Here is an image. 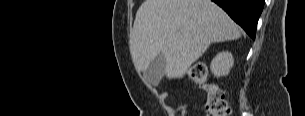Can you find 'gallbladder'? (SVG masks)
I'll use <instances>...</instances> for the list:
<instances>
[{
	"label": "gallbladder",
	"mask_w": 305,
	"mask_h": 116,
	"mask_svg": "<svg viewBox=\"0 0 305 116\" xmlns=\"http://www.w3.org/2000/svg\"><path fill=\"white\" fill-rule=\"evenodd\" d=\"M166 60L162 54L157 55L144 72L145 79L153 86H157L164 76Z\"/></svg>",
	"instance_id": "obj_1"
}]
</instances>
